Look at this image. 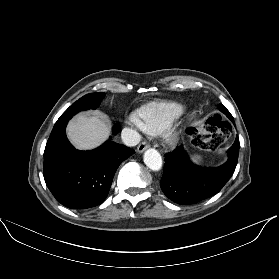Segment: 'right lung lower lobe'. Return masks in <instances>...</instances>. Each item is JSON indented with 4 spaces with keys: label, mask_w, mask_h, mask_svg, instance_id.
Returning a JSON list of instances; mask_svg holds the SVG:
<instances>
[{
    "label": "right lung lower lobe",
    "mask_w": 279,
    "mask_h": 279,
    "mask_svg": "<svg viewBox=\"0 0 279 279\" xmlns=\"http://www.w3.org/2000/svg\"><path fill=\"white\" fill-rule=\"evenodd\" d=\"M68 119L57 121L44 151V179L56 200L71 209L101 204L119 165L134 150L111 140L93 151L76 150L68 141ZM118 132V126L113 129Z\"/></svg>",
    "instance_id": "right-lung-lower-lobe-1"
}]
</instances>
